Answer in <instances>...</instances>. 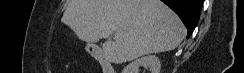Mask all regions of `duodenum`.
<instances>
[{"label":"duodenum","instance_id":"duodenum-1","mask_svg":"<svg viewBox=\"0 0 244 73\" xmlns=\"http://www.w3.org/2000/svg\"><path fill=\"white\" fill-rule=\"evenodd\" d=\"M97 61L101 64L103 73H114L109 59L97 48L91 50Z\"/></svg>","mask_w":244,"mask_h":73}]
</instances>
